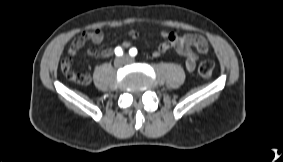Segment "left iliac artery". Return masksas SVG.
Wrapping results in <instances>:
<instances>
[{
	"label": "left iliac artery",
	"mask_w": 283,
	"mask_h": 162,
	"mask_svg": "<svg viewBox=\"0 0 283 162\" xmlns=\"http://www.w3.org/2000/svg\"><path fill=\"white\" fill-rule=\"evenodd\" d=\"M129 54L132 56V57H134V56H136L137 55V49L136 48H131L130 50H129Z\"/></svg>",
	"instance_id": "obj_1"
}]
</instances>
